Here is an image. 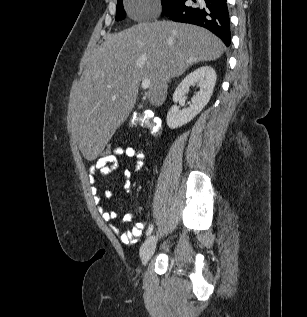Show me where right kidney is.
I'll use <instances>...</instances> for the list:
<instances>
[{"instance_id":"ca27d5eb","label":"right kidney","mask_w":307,"mask_h":317,"mask_svg":"<svg viewBox=\"0 0 307 317\" xmlns=\"http://www.w3.org/2000/svg\"><path fill=\"white\" fill-rule=\"evenodd\" d=\"M216 72L211 66H202L188 74L179 84L173 95L174 105L167 113V125L171 129L181 127L196 117L209 102L216 83ZM200 87V91L193 96L189 108L180 110L176 105L188 93L191 86Z\"/></svg>"}]
</instances>
